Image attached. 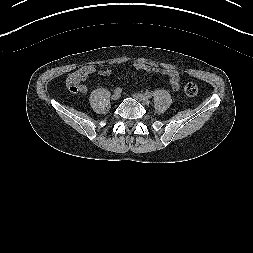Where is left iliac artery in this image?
Masks as SVG:
<instances>
[{
	"label": "left iliac artery",
	"instance_id": "obj_1",
	"mask_svg": "<svg viewBox=\"0 0 253 253\" xmlns=\"http://www.w3.org/2000/svg\"><path fill=\"white\" fill-rule=\"evenodd\" d=\"M145 95H146L147 97H149V98L152 97V93H150V92H148V91L145 92Z\"/></svg>",
	"mask_w": 253,
	"mask_h": 253
}]
</instances>
